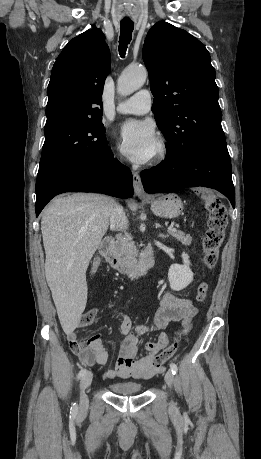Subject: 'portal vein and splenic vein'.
<instances>
[{
    "instance_id": "obj_1",
    "label": "portal vein and splenic vein",
    "mask_w": 261,
    "mask_h": 459,
    "mask_svg": "<svg viewBox=\"0 0 261 459\" xmlns=\"http://www.w3.org/2000/svg\"><path fill=\"white\" fill-rule=\"evenodd\" d=\"M168 230H170V231H177V229L174 228V227H169Z\"/></svg>"
}]
</instances>
